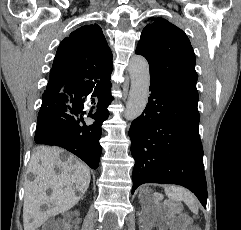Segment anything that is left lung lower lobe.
<instances>
[{"label": "left lung lower lobe", "instance_id": "0a47b994", "mask_svg": "<svg viewBox=\"0 0 241 230\" xmlns=\"http://www.w3.org/2000/svg\"><path fill=\"white\" fill-rule=\"evenodd\" d=\"M149 90L148 104L129 130L135 159L132 192L144 183L178 184L206 208L198 93L154 78Z\"/></svg>", "mask_w": 241, "mask_h": 230}]
</instances>
